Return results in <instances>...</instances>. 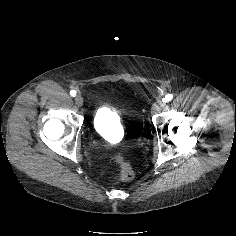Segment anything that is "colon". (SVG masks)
Here are the masks:
<instances>
[{"instance_id":"1","label":"colon","mask_w":236,"mask_h":236,"mask_svg":"<svg viewBox=\"0 0 236 236\" xmlns=\"http://www.w3.org/2000/svg\"><path fill=\"white\" fill-rule=\"evenodd\" d=\"M115 160L120 168L117 179L122 182L131 180L134 176V171L129 162L122 155H117Z\"/></svg>"}]
</instances>
